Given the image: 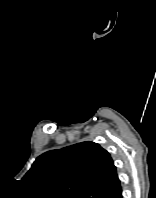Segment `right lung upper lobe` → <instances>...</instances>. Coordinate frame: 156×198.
Instances as JSON below:
<instances>
[{
	"mask_svg": "<svg viewBox=\"0 0 156 198\" xmlns=\"http://www.w3.org/2000/svg\"><path fill=\"white\" fill-rule=\"evenodd\" d=\"M23 181L40 198H115L122 191L110 154L94 142L40 155Z\"/></svg>",
	"mask_w": 156,
	"mask_h": 198,
	"instance_id": "obj_1",
	"label": "right lung upper lobe"
}]
</instances>
